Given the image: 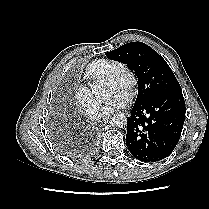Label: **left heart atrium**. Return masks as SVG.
Masks as SVG:
<instances>
[{
    "label": "left heart atrium",
    "instance_id": "left-heart-atrium-1",
    "mask_svg": "<svg viewBox=\"0 0 209 209\" xmlns=\"http://www.w3.org/2000/svg\"><path fill=\"white\" fill-rule=\"evenodd\" d=\"M130 102L129 95L124 91H117L101 108V115H110L122 108H125Z\"/></svg>",
    "mask_w": 209,
    "mask_h": 209
}]
</instances>
